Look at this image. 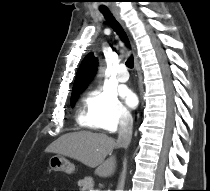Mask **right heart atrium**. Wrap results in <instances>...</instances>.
<instances>
[{
    "label": "right heart atrium",
    "instance_id": "d8ad5b80",
    "mask_svg": "<svg viewBox=\"0 0 210 191\" xmlns=\"http://www.w3.org/2000/svg\"><path fill=\"white\" fill-rule=\"evenodd\" d=\"M86 103L96 127L103 131L115 132L131 121L129 110L113 90L97 88L89 93Z\"/></svg>",
    "mask_w": 210,
    "mask_h": 191
}]
</instances>
